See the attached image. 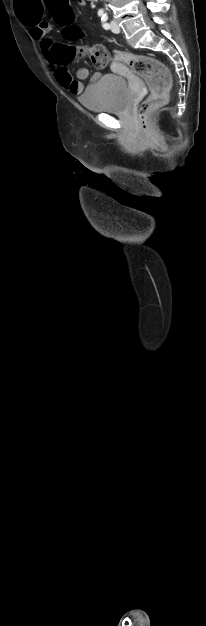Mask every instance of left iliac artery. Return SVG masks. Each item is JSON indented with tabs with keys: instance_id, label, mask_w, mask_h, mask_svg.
Instances as JSON below:
<instances>
[{
	"instance_id": "left-iliac-artery-1",
	"label": "left iliac artery",
	"mask_w": 206,
	"mask_h": 626,
	"mask_svg": "<svg viewBox=\"0 0 206 626\" xmlns=\"http://www.w3.org/2000/svg\"><path fill=\"white\" fill-rule=\"evenodd\" d=\"M107 20H108V16L106 14L104 16H102V18H101L102 26L106 30H108L110 28V24L107 22Z\"/></svg>"
}]
</instances>
